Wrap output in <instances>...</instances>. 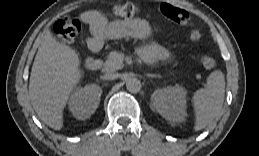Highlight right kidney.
I'll list each match as a JSON object with an SVG mask.
<instances>
[{"mask_svg":"<svg viewBox=\"0 0 259 156\" xmlns=\"http://www.w3.org/2000/svg\"><path fill=\"white\" fill-rule=\"evenodd\" d=\"M102 89L96 84L77 87L69 100V110L80 120L89 118L98 108Z\"/></svg>","mask_w":259,"mask_h":156,"instance_id":"ca27d5eb","label":"right kidney"}]
</instances>
